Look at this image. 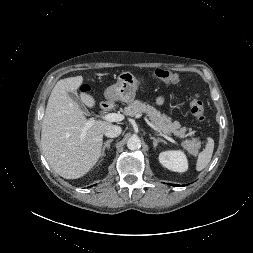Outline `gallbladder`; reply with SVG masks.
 Instances as JSON below:
<instances>
[{
  "instance_id": "gallbladder-1",
  "label": "gallbladder",
  "mask_w": 253,
  "mask_h": 253,
  "mask_svg": "<svg viewBox=\"0 0 253 253\" xmlns=\"http://www.w3.org/2000/svg\"><path fill=\"white\" fill-rule=\"evenodd\" d=\"M70 98L79 106V108L84 109L83 104L81 103V100L76 92H70L68 93Z\"/></svg>"
}]
</instances>
